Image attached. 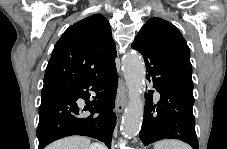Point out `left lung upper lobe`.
I'll return each instance as SVG.
<instances>
[{"mask_svg":"<svg viewBox=\"0 0 227 149\" xmlns=\"http://www.w3.org/2000/svg\"><path fill=\"white\" fill-rule=\"evenodd\" d=\"M159 52L188 80L192 82L190 50L180 31L170 22L152 18L141 28Z\"/></svg>","mask_w":227,"mask_h":149,"instance_id":"left-lung-upper-lobe-1","label":"left lung upper lobe"}]
</instances>
